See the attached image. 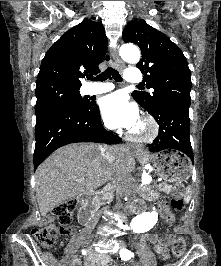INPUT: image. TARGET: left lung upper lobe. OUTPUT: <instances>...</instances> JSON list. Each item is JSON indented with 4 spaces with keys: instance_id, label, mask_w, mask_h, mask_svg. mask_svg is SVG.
I'll return each mask as SVG.
<instances>
[{
    "instance_id": "left-lung-upper-lobe-1",
    "label": "left lung upper lobe",
    "mask_w": 221,
    "mask_h": 266,
    "mask_svg": "<svg viewBox=\"0 0 221 266\" xmlns=\"http://www.w3.org/2000/svg\"><path fill=\"white\" fill-rule=\"evenodd\" d=\"M122 37L140 47L142 59L137 67L144 72L147 87L154 89L152 94L134 91L133 98L150 114L170 103L190 106L191 75L178 46L144 20L129 22Z\"/></svg>"
}]
</instances>
